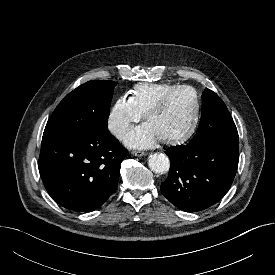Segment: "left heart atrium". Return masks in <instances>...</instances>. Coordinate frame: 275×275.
Listing matches in <instances>:
<instances>
[{
    "label": "left heart atrium",
    "instance_id": "39dd6f15",
    "mask_svg": "<svg viewBox=\"0 0 275 275\" xmlns=\"http://www.w3.org/2000/svg\"><path fill=\"white\" fill-rule=\"evenodd\" d=\"M160 140L152 126L145 123L133 129L125 137V144L130 148L144 149L153 146Z\"/></svg>",
    "mask_w": 275,
    "mask_h": 275
}]
</instances>
